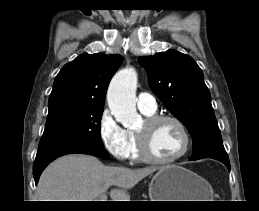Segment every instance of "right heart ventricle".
Instances as JSON below:
<instances>
[{"instance_id": "obj_1", "label": "right heart ventricle", "mask_w": 259, "mask_h": 211, "mask_svg": "<svg viewBox=\"0 0 259 211\" xmlns=\"http://www.w3.org/2000/svg\"><path fill=\"white\" fill-rule=\"evenodd\" d=\"M144 115L146 116H151L153 115V113H145L142 112ZM128 136H129V141H130V152H129V156L135 160V161H139L140 160V156H139V152H138V146H137V140H136V135L134 132L132 131H128Z\"/></svg>"}]
</instances>
